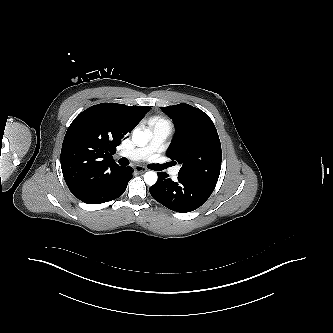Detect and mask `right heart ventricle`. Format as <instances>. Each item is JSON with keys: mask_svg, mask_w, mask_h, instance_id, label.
<instances>
[{"mask_svg": "<svg viewBox=\"0 0 333 333\" xmlns=\"http://www.w3.org/2000/svg\"><path fill=\"white\" fill-rule=\"evenodd\" d=\"M159 122H164V120H162V119H157V120H153V121H152L153 124H156V123H159Z\"/></svg>", "mask_w": 333, "mask_h": 333, "instance_id": "e07e8e85", "label": "right heart ventricle"}]
</instances>
